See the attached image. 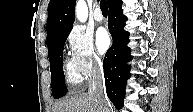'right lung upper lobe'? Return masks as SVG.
Wrapping results in <instances>:
<instances>
[{
	"mask_svg": "<svg viewBox=\"0 0 193 112\" xmlns=\"http://www.w3.org/2000/svg\"><path fill=\"white\" fill-rule=\"evenodd\" d=\"M118 0H108L110 7ZM76 0H51L48 4L47 46L61 33L72 29Z\"/></svg>",
	"mask_w": 193,
	"mask_h": 112,
	"instance_id": "obj_1",
	"label": "right lung upper lobe"
}]
</instances>
